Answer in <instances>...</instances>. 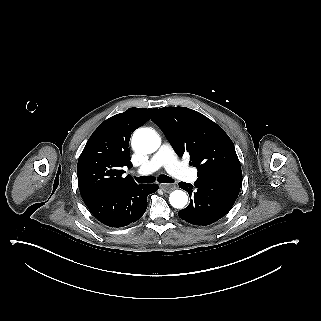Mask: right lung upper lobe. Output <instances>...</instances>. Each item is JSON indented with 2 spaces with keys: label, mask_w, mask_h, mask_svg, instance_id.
<instances>
[{
  "label": "right lung upper lobe",
  "mask_w": 321,
  "mask_h": 321,
  "mask_svg": "<svg viewBox=\"0 0 321 321\" xmlns=\"http://www.w3.org/2000/svg\"><path fill=\"white\" fill-rule=\"evenodd\" d=\"M156 109L129 108L102 122L87 141L77 164L78 186L84 201L124 190L136 182L123 177L132 167L130 135L150 119Z\"/></svg>",
  "instance_id": "obj_1"
}]
</instances>
